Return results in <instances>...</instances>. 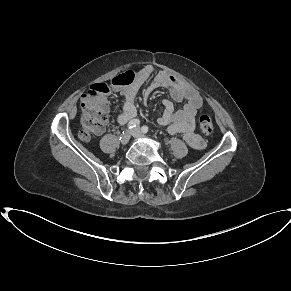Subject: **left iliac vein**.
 <instances>
[{"label": "left iliac vein", "mask_w": 291, "mask_h": 291, "mask_svg": "<svg viewBox=\"0 0 291 291\" xmlns=\"http://www.w3.org/2000/svg\"><path fill=\"white\" fill-rule=\"evenodd\" d=\"M132 135H133L135 138H146V136L143 135V134L141 133V131H140L139 128H135V129L133 130Z\"/></svg>", "instance_id": "left-iliac-vein-1"}]
</instances>
